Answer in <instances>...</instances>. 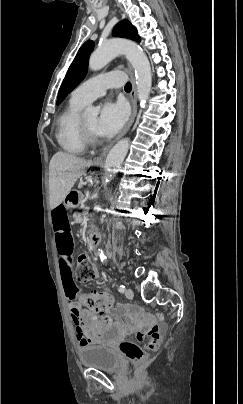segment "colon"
<instances>
[{
	"instance_id": "colon-1",
	"label": "colon",
	"mask_w": 243,
	"mask_h": 404,
	"mask_svg": "<svg viewBox=\"0 0 243 404\" xmlns=\"http://www.w3.org/2000/svg\"><path fill=\"white\" fill-rule=\"evenodd\" d=\"M96 276L95 267L88 255H80L77 262V278L79 281L88 282ZM79 303L89 312L98 316H110L113 314L138 315L141 310L138 307L120 305L109 292H94L83 294L79 297ZM139 345L135 342H124L121 351L133 361L143 358L146 351L158 348L161 341V332L158 326H152L137 336Z\"/></svg>"
}]
</instances>
